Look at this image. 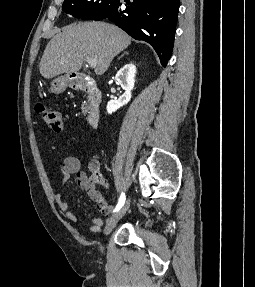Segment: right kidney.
I'll return each instance as SVG.
<instances>
[{"label":"right kidney","instance_id":"obj_1","mask_svg":"<svg viewBox=\"0 0 255 287\" xmlns=\"http://www.w3.org/2000/svg\"><path fill=\"white\" fill-rule=\"evenodd\" d=\"M136 74V66L134 64H126L123 66L119 72H117L115 76L116 82L120 84L121 88L125 90V94L120 96L118 100H110L107 104V112L108 114H112V112H116L118 108H122L125 104H128L131 100V90H133L134 86V78Z\"/></svg>","mask_w":255,"mask_h":287}]
</instances>
